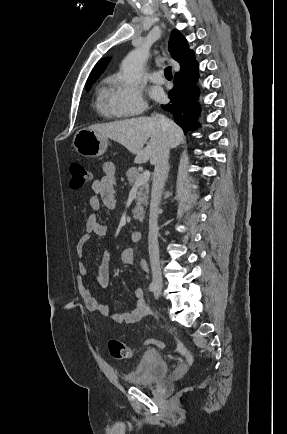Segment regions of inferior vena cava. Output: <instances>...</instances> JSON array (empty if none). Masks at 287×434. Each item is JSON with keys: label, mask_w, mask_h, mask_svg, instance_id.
Masks as SVG:
<instances>
[{"label": "inferior vena cava", "mask_w": 287, "mask_h": 434, "mask_svg": "<svg viewBox=\"0 0 287 434\" xmlns=\"http://www.w3.org/2000/svg\"><path fill=\"white\" fill-rule=\"evenodd\" d=\"M156 118L161 127L162 136L160 138L159 148L154 161L155 169L150 203L148 250L153 281L156 283H162L158 245V212L164 182L167 176L170 143L168 120L162 115H156Z\"/></svg>", "instance_id": "inferior-vena-cava-1"}]
</instances>
